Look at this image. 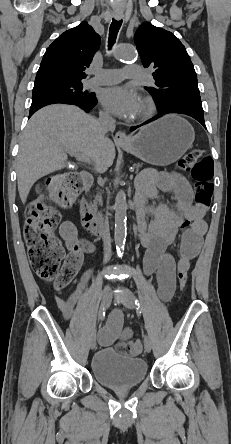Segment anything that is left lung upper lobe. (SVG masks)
<instances>
[{
  "instance_id": "left-lung-upper-lobe-1",
  "label": "left lung upper lobe",
  "mask_w": 231,
  "mask_h": 444,
  "mask_svg": "<svg viewBox=\"0 0 231 444\" xmlns=\"http://www.w3.org/2000/svg\"><path fill=\"white\" fill-rule=\"evenodd\" d=\"M143 66L153 67L154 83L146 87L160 112L203 113L194 66L180 40L171 32L144 22L134 35Z\"/></svg>"
}]
</instances>
